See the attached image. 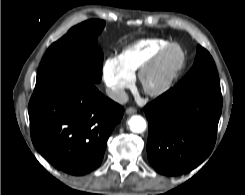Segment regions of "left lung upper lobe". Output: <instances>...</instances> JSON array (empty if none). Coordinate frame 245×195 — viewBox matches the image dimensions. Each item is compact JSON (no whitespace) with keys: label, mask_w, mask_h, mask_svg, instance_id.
I'll use <instances>...</instances> for the list:
<instances>
[{"label":"left lung upper lobe","mask_w":245,"mask_h":195,"mask_svg":"<svg viewBox=\"0 0 245 195\" xmlns=\"http://www.w3.org/2000/svg\"><path fill=\"white\" fill-rule=\"evenodd\" d=\"M178 88L186 91L221 95L220 81L213 58L200 45L197 46V55L193 67L180 81Z\"/></svg>","instance_id":"1"}]
</instances>
